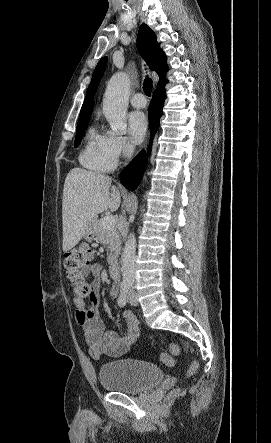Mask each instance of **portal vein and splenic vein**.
Segmentation results:
<instances>
[{"label": "portal vein and splenic vein", "mask_w": 271, "mask_h": 443, "mask_svg": "<svg viewBox=\"0 0 271 443\" xmlns=\"http://www.w3.org/2000/svg\"><path fill=\"white\" fill-rule=\"evenodd\" d=\"M101 223L104 229H112L116 225V218L114 216H106V218H102Z\"/></svg>", "instance_id": "1"}]
</instances>
